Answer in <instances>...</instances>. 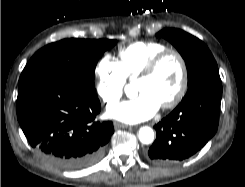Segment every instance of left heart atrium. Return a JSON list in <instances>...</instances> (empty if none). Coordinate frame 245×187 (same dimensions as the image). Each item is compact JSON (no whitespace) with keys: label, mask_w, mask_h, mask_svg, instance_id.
<instances>
[{"label":"left heart atrium","mask_w":245,"mask_h":187,"mask_svg":"<svg viewBox=\"0 0 245 187\" xmlns=\"http://www.w3.org/2000/svg\"><path fill=\"white\" fill-rule=\"evenodd\" d=\"M160 106V103L151 94L141 92L132 100L109 107L107 114L126 123H139L151 118Z\"/></svg>","instance_id":"left-heart-atrium-1"}]
</instances>
